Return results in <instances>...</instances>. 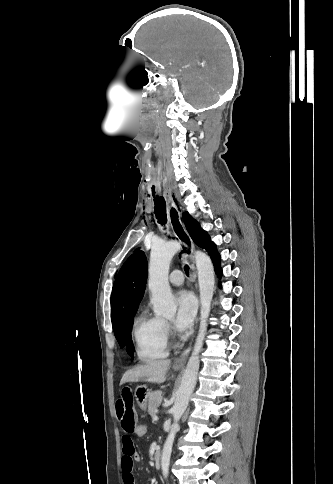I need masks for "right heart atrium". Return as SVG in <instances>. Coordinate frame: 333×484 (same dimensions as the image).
<instances>
[{"label": "right heart atrium", "instance_id": "1", "mask_svg": "<svg viewBox=\"0 0 333 484\" xmlns=\"http://www.w3.org/2000/svg\"><path fill=\"white\" fill-rule=\"evenodd\" d=\"M166 332H167V334H169V332H170V326L168 324H166Z\"/></svg>", "mask_w": 333, "mask_h": 484}]
</instances>
